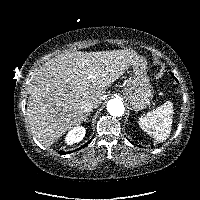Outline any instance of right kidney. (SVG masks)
I'll return each mask as SVG.
<instances>
[{
    "label": "right kidney",
    "instance_id": "obj_1",
    "mask_svg": "<svg viewBox=\"0 0 200 200\" xmlns=\"http://www.w3.org/2000/svg\"><path fill=\"white\" fill-rule=\"evenodd\" d=\"M85 133L86 129L84 127H74L65 137V143H67V145H73L74 143H78L84 138Z\"/></svg>",
    "mask_w": 200,
    "mask_h": 200
}]
</instances>
